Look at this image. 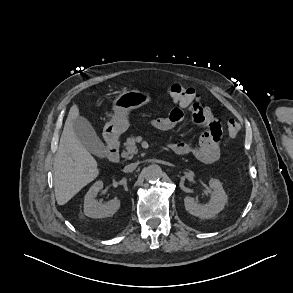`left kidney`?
Listing matches in <instances>:
<instances>
[{"label": "left kidney", "mask_w": 293, "mask_h": 293, "mask_svg": "<svg viewBox=\"0 0 293 293\" xmlns=\"http://www.w3.org/2000/svg\"><path fill=\"white\" fill-rule=\"evenodd\" d=\"M209 186L213 190L211 201L208 204H197L194 198L186 196L184 206L191 215L201 219H210L221 212L227 203V195L222 183L218 179H210Z\"/></svg>", "instance_id": "obj_1"}]
</instances>
